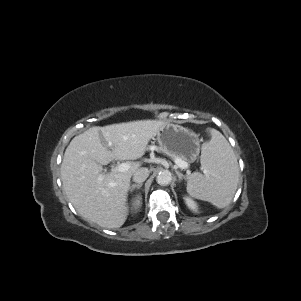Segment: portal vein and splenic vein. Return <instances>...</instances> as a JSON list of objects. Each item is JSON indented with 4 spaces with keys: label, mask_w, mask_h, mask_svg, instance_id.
Listing matches in <instances>:
<instances>
[{
    "label": "portal vein and splenic vein",
    "mask_w": 301,
    "mask_h": 301,
    "mask_svg": "<svg viewBox=\"0 0 301 301\" xmlns=\"http://www.w3.org/2000/svg\"><path fill=\"white\" fill-rule=\"evenodd\" d=\"M175 163L181 169H185L188 167V163H186L185 161H182L181 159H175ZM129 167H130V164L128 162H125V163H121V164L117 165L114 168V170L117 172H124V171L128 170Z\"/></svg>",
    "instance_id": "portal-vein-and-splenic-vein-1"
}]
</instances>
